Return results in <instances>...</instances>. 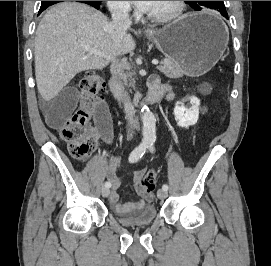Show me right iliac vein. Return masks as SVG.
Returning <instances> with one entry per match:
<instances>
[{"label":"right iliac vein","instance_id":"obj_1","mask_svg":"<svg viewBox=\"0 0 271 266\" xmlns=\"http://www.w3.org/2000/svg\"><path fill=\"white\" fill-rule=\"evenodd\" d=\"M110 193V189L106 186H103L102 189H101V194L103 197H108Z\"/></svg>","mask_w":271,"mask_h":266}]
</instances>
